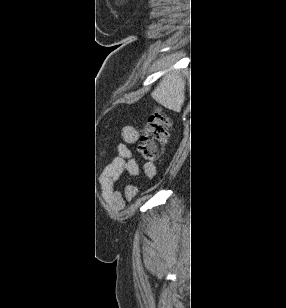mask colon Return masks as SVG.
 <instances>
[{"mask_svg":"<svg viewBox=\"0 0 286 308\" xmlns=\"http://www.w3.org/2000/svg\"><path fill=\"white\" fill-rule=\"evenodd\" d=\"M172 123L169 117L161 110H156L149 118L138 145L140 155L147 160H154L166 143Z\"/></svg>","mask_w":286,"mask_h":308,"instance_id":"obj_1","label":"colon"}]
</instances>
